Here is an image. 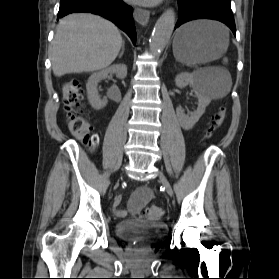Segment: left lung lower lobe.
Listing matches in <instances>:
<instances>
[{
	"label": "left lung lower lobe",
	"instance_id": "0a47b994",
	"mask_svg": "<svg viewBox=\"0 0 279 279\" xmlns=\"http://www.w3.org/2000/svg\"><path fill=\"white\" fill-rule=\"evenodd\" d=\"M231 0H178L179 16L176 27L195 19H214L225 23L236 34Z\"/></svg>",
	"mask_w": 279,
	"mask_h": 279
}]
</instances>
